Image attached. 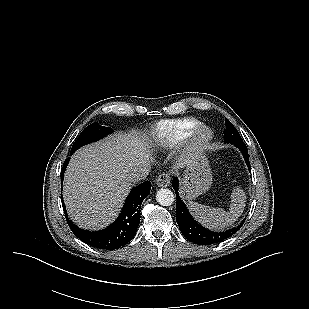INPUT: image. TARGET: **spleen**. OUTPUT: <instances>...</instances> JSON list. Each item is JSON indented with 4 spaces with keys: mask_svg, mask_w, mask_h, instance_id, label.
<instances>
[{
    "mask_svg": "<svg viewBox=\"0 0 309 309\" xmlns=\"http://www.w3.org/2000/svg\"><path fill=\"white\" fill-rule=\"evenodd\" d=\"M245 202V192L236 187L231 194L228 212L222 208H212L193 201H190L188 205L190 211L200 223L210 229L221 230L230 226L241 216L246 205Z\"/></svg>",
    "mask_w": 309,
    "mask_h": 309,
    "instance_id": "spleen-1",
    "label": "spleen"
}]
</instances>
